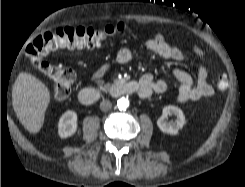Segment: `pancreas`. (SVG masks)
<instances>
[{
  "label": "pancreas",
  "mask_w": 245,
  "mask_h": 187,
  "mask_svg": "<svg viewBox=\"0 0 245 187\" xmlns=\"http://www.w3.org/2000/svg\"><path fill=\"white\" fill-rule=\"evenodd\" d=\"M110 87V84H105L103 88H109Z\"/></svg>",
  "instance_id": "cf45deb5"
}]
</instances>
